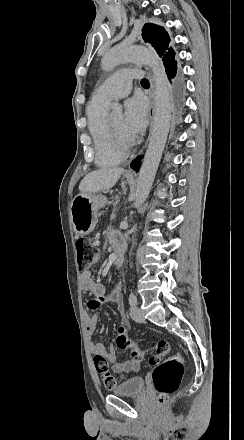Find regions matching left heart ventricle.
<instances>
[{"label": "left heart ventricle", "mask_w": 244, "mask_h": 440, "mask_svg": "<svg viewBox=\"0 0 244 440\" xmlns=\"http://www.w3.org/2000/svg\"><path fill=\"white\" fill-rule=\"evenodd\" d=\"M108 123L115 131L124 130V119L122 114H112L107 118Z\"/></svg>", "instance_id": "obj_1"}]
</instances>
